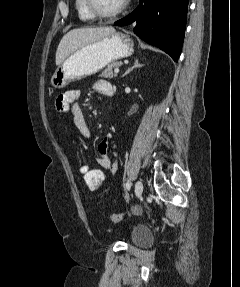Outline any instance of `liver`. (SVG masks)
<instances>
[{
	"instance_id": "1",
	"label": "liver",
	"mask_w": 240,
	"mask_h": 287,
	"mask_svg": "<svg viewBox=\"0 0 240 287\" xmlns=\"http://www.w3.org/2000/svg\"><path fill=\"white\" fill-rule=\"evenodd\" d=\"M114 32L115 29L112 26L84 27L70 30L62 37L58 45L55 60L56 65H61L78 48L98 41Z\"/></svg>"
}]
</instances>
